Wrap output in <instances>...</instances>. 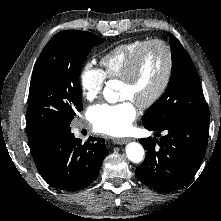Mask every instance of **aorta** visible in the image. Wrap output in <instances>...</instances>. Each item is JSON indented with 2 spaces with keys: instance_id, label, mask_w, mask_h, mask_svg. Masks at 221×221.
<instances>
[{
  "instance_id": "1",
  "label": "aorta",
  "mask_w": 221,
  "mask_h": 221,
  "mask_svg": "<svg viewBox=\"0 0 221 221\" xmlns=\"http://www.w3.org/2000/svg\"><path fill=\"white\" fill-rule=\"evenodd\" d=\"M110 93H113L112 89H110V87H106L104 90V97L108 101H111L109 98ZM126 155L131 162L139 163L144 158V149L141 144L137 142H130L126 146Z\"/></svg>"
}]
</instances>
